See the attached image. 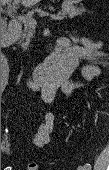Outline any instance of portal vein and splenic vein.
Returning a JSON list of instances; mask_svg holds the SVG:
<instances>
[{
    "instance_id": "1",
    "label": "portal vein and splenic vein",
    "mask_w": 109,
    "mask_h": 170,
    "mask_svg": "<svg viewBox=\"0 0 109 170\" xmlns=\"http://www.w3.org/2000/svg\"><path fill=\"white\" fill-rule=\"evenodd\" d=\"M8 1H9V0H8ZM16 2H18V0H16ZM9 12H10V10H9ZM19 18H20V20H21L24 24H26L27 26H29V27H31V28H33V29H34V28L36 27V25H37V21H36L34 18H32V17L19 16ZM51 18H52L53 20H56V21L63 19L62 17H60V16H58V15H51Z\"/></svg>"
}]
</instances>
